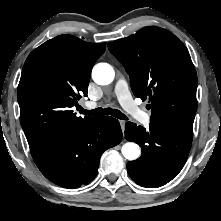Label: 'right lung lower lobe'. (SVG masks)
Instances as JSON below:
<instances>
[{
	"label": "right lung lower lobe",
	"instance_id": "1",
	"mask_svg": "<svg viewBox=\"0 0 221 221\" xmlns=\"http://www.w3.org/2000/svg\"><path fill=\"white\" fill-rule=\"evenodd\" d=\"M122 137L118 120L109 116L94 118L33 159L42 174L56 185L77 188L95 178L101 155L118 145Z\"/></svg>",
	"mask_w": 221,
	"mask_h": 221
}]
</instances>
